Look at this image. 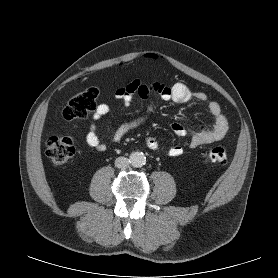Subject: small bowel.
Segmentation results:
<instances>
[{
    "mask_svg": "<svg viewBox=\"0 0 278 278\" xmlns=\"http://www.w3.org/2000/svg\"><path fill=\"white\" fill-rule=\"evenodd\" d=\"M157 95L161 100L173 102L176 104H188L192 101L207 103V95L204 92L192 91L186 84L178 82L171 86L162 83L144 84L136 79L120 87L115 91L116 99L120 100L125 107H128L134 97L148 101L145 113L127 122L122 123L113 134V141L119 142L123 137L133 129L143 125L155 108V101L152 95ZM207 108L213 118L212 127H202L191 136V147H198L221 140L228 131V120L223 113L222 107L218 102H208ZM110 111V106L106 103H100L96 106L92 114V122L86 133L87 144L97 151H105L106 145L102 143L97 134L96 122L106 116ZM171 130L177 136H185L188 129L185 124L175 122L171 125ZM146 146L154 151H164L171 157H179L183 154V148L180 145H162L156 138L147 136L145 138Z\"/></svg>",
    "mask_w": 278,
    "mask_h": 278,
    "instance_id": "1",
    "label": "small bowel"
}]
</instances>
